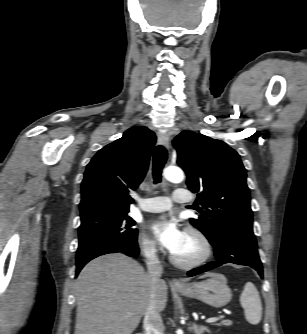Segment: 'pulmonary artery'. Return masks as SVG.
<instances>
[{"label":"pulmonary artery","instance_id":"1","mask_svg":"<svg viewBox=\"0 0 307 334\" xmlns=\"http://www.w3.org/2000/svg\"><path fill=\"white\" fill-rule=\"evenodd\" d=\"M186 189H176L172 198L167 196H154L147 199H139V208L145 212H163L172 206V201L175 202H190L191 197L188 196Z\"/></svg>","mask_w":307,"mask_h":334}]
</instances>
